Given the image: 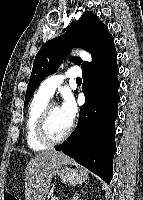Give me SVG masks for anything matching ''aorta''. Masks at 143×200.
Returning <instances> with one entry per match:
<instances>
[{"label":"aorta","instance_id":"1","mask_svg":"<svg viewBox=\"0 0 143 200\" xmlns=\"http://www.w3.org/2000/svg\"><path fill=\"white\" fill-rule=\"evenodd\" d=\"M75 54L81 57L85 61H91V55L84 50H77L75 51Z\"/></svg>","mask_w":143,"mask_h":200}]
</instances>
